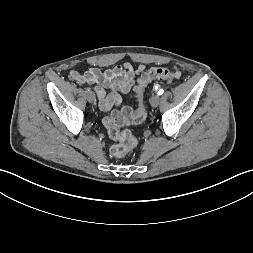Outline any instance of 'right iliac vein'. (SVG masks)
<instances>
[{
	"label": "right iliac vein",
	"mask_w": 253,
	"mask_h": 253,
	"mask_svg": "<svg viewBox=\"0 0 253 253\" xmlns=\"http://www.w3.org/2000/svg\"><path fill=\"white\" fill-rule=\"evenodd\" d=\"M87 100H88L90 103L95 102L96 96H95L94 92L90 91V92L87 93Z\"/></svg>",
	"instance_id": "63e3f726"
}]
</instances>
